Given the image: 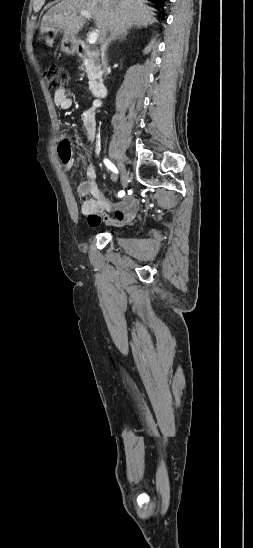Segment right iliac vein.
Returning a JSON list of instances; mask_svg holds the SVG:
<instances>
[{"instance_id": "right-iliac-vein-1", "label": "right iliac vein", "mask_w": 253, "mask_h": 548, "mask_svg": "<svg viewBox=\"0 0 253 548\" xmlns=\"http://www.w3.org/2000/svg\"><path fill=\"white\" fill-rule=\"evenodd\" d=\"M120 173H121V185L123 188H126L128 186L129 176L125 169V167L122 164H118Z\"/></svg>"}]
</instances>
